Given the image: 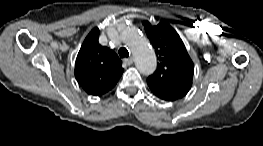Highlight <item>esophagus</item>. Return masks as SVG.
<instances>
[{"mask_svg": "<svg viewBox=\"0 0 263 146\" xmlns=\"http://www.w3.org/2000/svg\"><path fill=\"white\" fill-rule=\"evenodd\" d=\"M123 62L126 64V65H132L133 64V58L132 57H129V58H126L123 60Z\"/></svg>", "mask_w": 263, "mask_h": 146, "instance_id": "obj_1", "label": "esophagus"}]
</instances>
